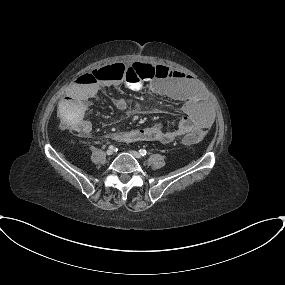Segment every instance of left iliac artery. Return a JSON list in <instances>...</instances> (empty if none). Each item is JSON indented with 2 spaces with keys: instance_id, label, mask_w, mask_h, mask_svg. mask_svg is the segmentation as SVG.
Returning <instances> with one entry per match:
<instances>
[{
  "instance_id": "left-iliac-artery-1",
  "label": "left iliac artery",
  "mask_w": 285,
  "mask_h": 285,
  "mask_svg": "<svg viewBox=\"0 0 285 285\" xmlns=\"http://www.w3.org/2000/svg\"><path fill=\"white\" fill-rule=\"evenodd\" d=\"M140 155L145 156L147 154V151L145 149L139 150Z\"/></svg>"
}]
</instances>
